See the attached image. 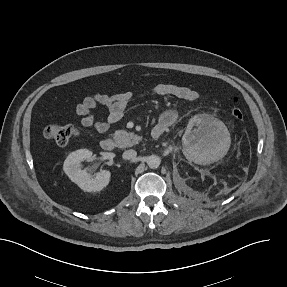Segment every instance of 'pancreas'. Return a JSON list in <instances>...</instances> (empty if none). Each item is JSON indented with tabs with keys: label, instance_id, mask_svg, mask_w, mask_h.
Wrapping results in <instances>:
<instances>
[{
	"label": "pancreas",
	"instance_id": "cf45deb5",
	"mask_svg": "<svg viewBox=\"0 0 287 287\" xmlns=\"http://www.w3.org/2000/svg\"><path fill=\"white\" fill-rule=\"evenodd\" d=\"M113 138L115 139L119 148H127L131 147L134 144H137L141 139L140 136L132 133L127 132L125 130H117L113 134Z\"/></svg>",
	"mask_w": 287,
	"mask_h": 287
}]
</instances>
